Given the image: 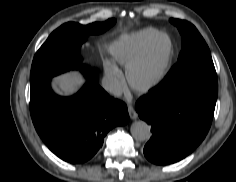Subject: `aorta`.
I'll return each mask as SVG.
<instances>
[{
	"mask_svg": "<svg viewBox=\"0 0 236 182\" xmlns=\"http://www.w3.org/2000/svg\"><path fill=\"white\" fill-rule=\"evenodd\" d=\"M151 127L144 121H135L131 124L132 137L137 141H146L151 137Z\"/></svg>",
	"mask_w": 236,
	"mask_h": 182,
	"instance_id": "aorta-1",
	"label": "aorta"
}]
</instances>
